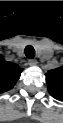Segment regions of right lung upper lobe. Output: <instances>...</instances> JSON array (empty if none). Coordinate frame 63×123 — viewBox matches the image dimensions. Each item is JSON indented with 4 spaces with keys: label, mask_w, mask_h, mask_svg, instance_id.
I'll return each mask as SVG.
<instances>
[{
    "label": "right lung upper lobe",
    "mask_w": 63,
    "mask_h": 123,
    "mask_svg": "<svg viewBox=\"0 0 63 123\" xmlns=\"http://www.w3.org/2000/svg\"><path fill=\"white\" fill-rule=\"evenodd\" d=\"M22 71L23 68L17 64L7 62L2 58L0 61V91L5 92L12 89Z\"/></svg>",
    "instance_id": "right-lung-upper-lobe-1"
}]
</instances>
